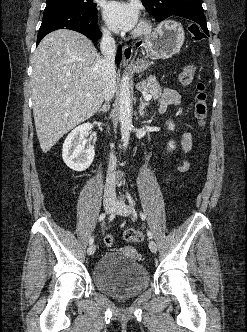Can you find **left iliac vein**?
I'll list each match as a JSON object with an SVG mask.
<instances>
[{
  "mask_svg": "<svg viewBox=\"0 0 247 332\" xmlns=\"http://www.w3.org/2000/svg\"><path fill=\"white\" fill-rule=\"evenodd\" d=\"M113 212L116 214H119L121 216L127 217L130 214H132L134 212V210L132 209V207L127 205L124 201L120 200V201L115 202ZM149 249L153 253H156V251H157V245L153 240L149 241Z\"/></svg>",
  "mask_w": 247,
  "mask_h": 332,
  "instance_id": "obj_1",
  "label": "left iliac vein"
}]
</instances>
